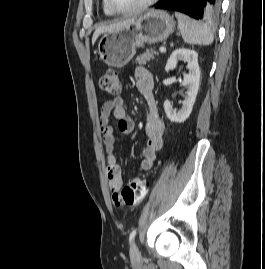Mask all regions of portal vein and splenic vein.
<instances>
[{
    "mask_svg": "<svg viewBox=\"0 0 265 269\" xmlns=\"http://www.w3.org/2000/svg\"><path fill=\"white\" fill-rule=\"evenodd\" d=\"M159 51H160L161 53H165V52H166V48H165V47H160V48H159Z\"/></svg>",
    "mask_w": 265,
    "mask_h": 269,
    "instance_id": "obj_1",
    "label": "portal vein and splenic vein"
}]
</instances>
